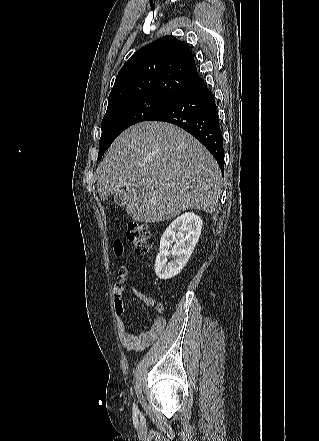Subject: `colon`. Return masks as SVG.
I'll return each instance as SVG.
<instances>
[{"mask_svg":"<svg viewBox=\"0 0 319 441\" xmlns=\"http://www.w3.org/2000/svg\"><path fill=\"white\" fill-rule=\"evenodd\" d=\"M128 239L133 244L137 254H145L148 251V243L150 238V229L146 224L132 222L128 226ZM116 241L114 245L119 244Z\"/></svg>","mask_w":319,"mask_h":441,"instance_id":"colon-1","label":"colon"}]
</instances>
